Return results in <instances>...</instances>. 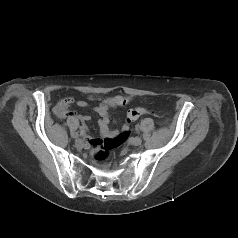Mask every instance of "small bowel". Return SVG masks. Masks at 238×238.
<instances>
[{
    "instance_id": "small-bowel-1",
    "label": "small bowel",
    "mask_w": 238,
    "mask_h": 238,
    "mask_svg": "<svg viewBox=\"0 0 238 238\" xmlns=\"http://www.w3.org/2000/svg\"><path fill=\"white\" fill-rule=\"evenodd\" d=\"M90 100H98V105L93 108V110L99 114L100 119L98 121L99 130L104 138H112L117 136L119 133L117 130L109 129V114L110 108H116L117 106H124L128 103V99L123 96H116L114 98H95L93 96L89 97ZM77 105L79 107H89V103L85 100H76L74 97H66L62 99L54 108V112L60 119H65L69 117H75L79 119L83 124L81 126V133L85 134L87 132V127L84 122L90 119L88 115L75 114L70 110L72 105ZM99 139H88V145L93 146Z\"/></svg>"
}]
</instances>
